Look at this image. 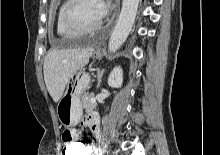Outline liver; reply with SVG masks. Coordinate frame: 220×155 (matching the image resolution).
Returning a JSON list of instances; mask_svg holds the SVG:
<instances>
[{
	"instance_id": "liver-1",
	"label": "liver",
	"mask_w": 220,
	"mask_h": 155,
	"mask_svg": "<svg viewBox=\"0 0 220 155\" xmlns=\"http://www.w3.org/2000/svg\"><path fill=\"white\" fill-rule=\"evenodd\" d=\"M93 48L55 49L48 52L43 72L47 90L54 102L60 101L71 77L88 64Z\"/></svg>"
}]
</instances>
